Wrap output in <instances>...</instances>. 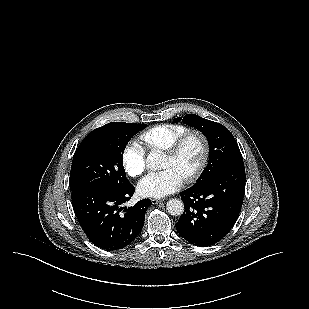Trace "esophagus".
I'll return each mask as SVG.
<instances>
[{
  "label": "esophagus",
  "mask_w": 309,
  "mask_h": 309,
  "mask_svg": "<svg viewBox=\"0 0 309 309\" xmlns=\"http://www.w3.org/2000/svg\"><path fill=\"white\" fill-rule=\"evenodd\" d=\"M162 200L160 199H151L152 204H158L159 202H161Z\"/></svg>",
  "instance_id": "1"
}]
</instances>
